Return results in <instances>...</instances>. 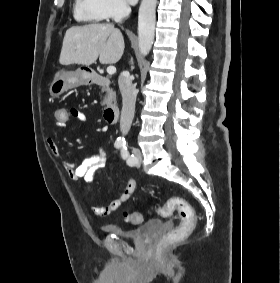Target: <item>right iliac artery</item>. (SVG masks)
<instances>
[{"label":"right iliac artery","instance_id":"right-iliac-artery-1","mask_svg":"<svg viewBox=\"0 0 280 283\" xmlns=\"http://www.w3.org/2000/svg\"><path fill=\"white\" fill-rule=\"evenodd\" d=\"M123 146H124V143H123V142H121V141L115 142V147H116V148H122Z\"/></svg>","mask_w":280,"mask_h":283}]
</instances>
